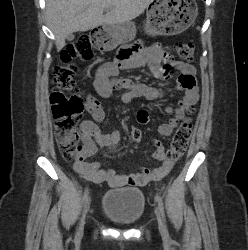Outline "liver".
Segmentation results:
<instances>
[{
    "mask_svg": "<svg viewBox=\"0 0 248 250\" xmlns=\"http://www.w3.org/2000/svg\"><path fill=\"white\" fill-rule=\"evenodd\" d=\"M154 0H46V19L58 51L69 34L117 25L141 15ZM105 10L109 13L103 15Z\"/></svg>",
    "mask_w": 248,
    "mask_h": 250,
    "instance_id": "obj_1",
    "label": "liver"
}]
</instances>
